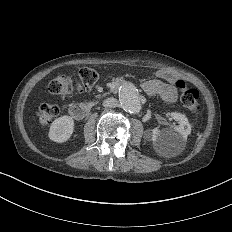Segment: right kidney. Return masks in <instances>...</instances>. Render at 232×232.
Instances as JSON below:
<instances>
[{
    "label": "right kidney",
    "mask_w": 232,
    "mask_h": 232,
    "mask_svg": "<svg viewBox=\"0 0 232 232\" xmlns=\"http://www.w3.org/2000/svg\"><path fill=\"white\" fill-rule=\"evenodd\" d=\"M73 129L74 120L70 116H62L52 122L48 136L52 141L62 143L70 138Z\"/></svg>",
    "instance_id": "obj_1"
}]
</instances>
